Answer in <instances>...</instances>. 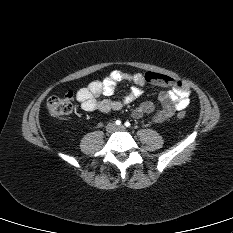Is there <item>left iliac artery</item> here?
Returning <instances> with one entry per match:
<instances>
[{"mask_svg":"<svg viewBox=\"0 0 233 233\" xmlns=\"http://www.w3.org/2000/svg\"><path fill=\"white\" fill-rule=\"evenodd\" d=\"M125 126H126V127H130V122H128V121L125 122Z\"/></svg>","mask_w":233,"mask_h":233,"instance_id":"obj_1","label":"left iliac artery"}]
</instances>
